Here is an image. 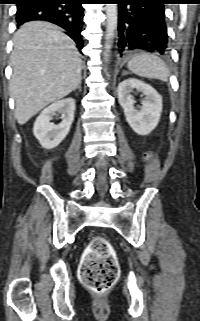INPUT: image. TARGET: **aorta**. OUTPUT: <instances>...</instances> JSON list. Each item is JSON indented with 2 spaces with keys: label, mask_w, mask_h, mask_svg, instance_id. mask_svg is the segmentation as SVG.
Instances as JSON below:
<instances>
[{
  "label": "aorta",
  "mask_w": 200,
  "mask_h": 321,
  "mask_svg": "<svg viewBox=\"0 0 200 321\" xmlns=\"http://www.w3.org/2000/svg\"><path fill=\"white\" fill-rule=\"evenodd\" d=\"M106 17H107V28L105 36V52L104 60L107 61L109 52L111 49L112 39L115 35L118 21V7L117 4H106Z\"/></svg>",
  "instance_id": "aorta-1"
}]
</instances>
